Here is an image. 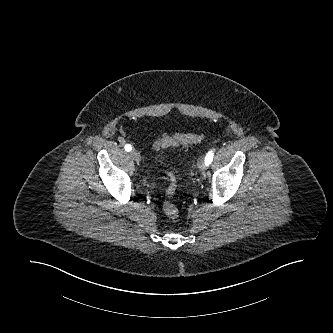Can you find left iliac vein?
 <instances>
[{
	"instance_id": "left-iliac-vein-1",
	"label": "left iliac vein",
	"mask_w": 333,
	"mask_h": 333,
	"mask_svg": "<svg viewBox=\"0 0 333 333\" xmlns=\"http://www.w3.org/2000/svg\"><path fill=\"white\" fill-rule=\"evenodd\" d=\"M198 169L200 171H205L206 170V164H205V160L203 157L198 159V163H197Z\"/></svg>"
}]
</instances>
